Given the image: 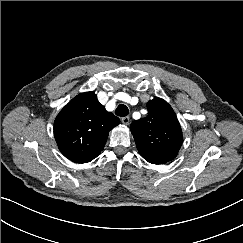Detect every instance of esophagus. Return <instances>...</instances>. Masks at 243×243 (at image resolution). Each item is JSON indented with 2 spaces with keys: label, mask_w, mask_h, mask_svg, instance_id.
Returning <instances> with one entry per match:
<instances>
[{
  "label": "esophagus",
  "mask_w": 243,
  "mask_h": 243,
  "mask_svg": "<svg viewBox=\"0 0 243 243\" xmlns=\"http://www.w3.org/2000/svg\"><path fill=\"white\" fill-rule=\"evenodd\" d=\"M121 121H122V123H123L124 125H128L129 122H130V118H129L128 116H126V117H123V118L121 119Z\"/></svg>",
  "instance_id": "obj_1"
}]
</instances>
